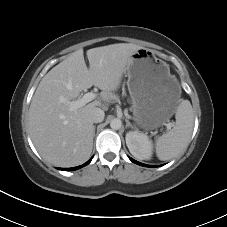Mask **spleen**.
<instances>
[{"label":"spleen","instance_id":"spleen-1","mask_svg":"<svg viewBox=\"0 0 227 227\" xmlns=\"http://www.w3.org/2000/svg\"><path fill=\"white\" fill-rule=\"evenodd\" d=\"M175 118L176 123L173 129L156 140V155L162 161L176 157L188 146L194 125L190 101H180Z\"/></svg>","mask_w":227,"mask_h":227}]
</instances>
